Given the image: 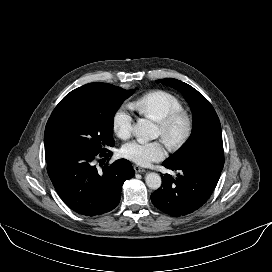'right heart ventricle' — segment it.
<instances>
[{
	"instance_id": "right-heart-ventricle-1",
	"label": "right heart ventricle",
	"mask_w": 272,
	"mask_h": 272,
	"mask_svg": "<svg viewBox=\"0 0 272 272\" xmlns=\"http://www.w3.org/2000/svg\"><path fill=\"white\" fill-rule=\"evenodd\" d=\"M142 115L159 121L169 113L181 110V101L172 93L164 90H153L139 97L131 105Z\"/></svg>"
}]
</instances>
